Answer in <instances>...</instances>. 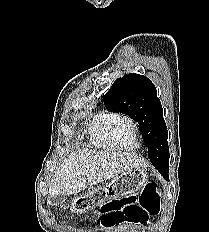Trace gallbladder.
<instances>
[{"instance_id":"obj_1","label":"gallbladder","mask_w":209,"mask_h":232,"mask_svg":"<svg viewBox=\"0 0 209 232\" xmlns=\"http://www.w3.org/2000/svg\"><path fill=\"white\" fill-rule=\"evenodd\" d=\"M65 201L64 195H57L51 198L50 204L51 206H58Z\"/></svg>"}]
</instances>
